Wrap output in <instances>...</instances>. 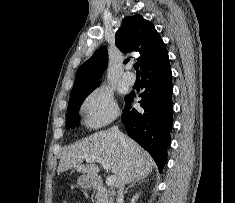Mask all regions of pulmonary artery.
Here are the masks:
<instances>
[{"label":"pulmonary artery","instance_id":"e3ab8cb5","mask_svg":"<svg viewBox=\"0 0 235 203\" xmlns=\"http://www.w3.org/2000/svg\"><path fill=\"white\" fill-rule=\"evenodd\" d=\"M130 70V66L126 67V71L124 72L122 78L123 81L127 84V85H133L135 83V76L132 72L129 71Z\"/></svg>","mask_w":235,"mask_h":203}]
</instances>
